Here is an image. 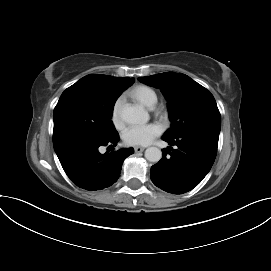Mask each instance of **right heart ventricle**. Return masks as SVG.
Wrapping results in <instances>:
<instances>
[{
  "label": "right heart ventricle",
  "mask_w": 271,
  "mask_h": 271,
  "mask_svg": "<svg viewBox=\"0 0 271 271\" xmlns=\"http://www.w3.org/2000/svg\"><path fill=\"white\" fill-rule=\"evenodd\" d=\"M132 96L144 106L152 108L157 103L156 92L148 86H138L131 92Z\"/></svg>",
  "instance_id": "obj_1"
}]
</instances>
